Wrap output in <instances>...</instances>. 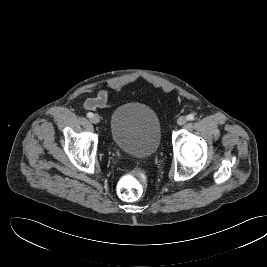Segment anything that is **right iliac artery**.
<instances>
[{"label":"right iliac artery","instance_id":"1","mask_svg":"<svg viewBox=\"0 0 267 267\" xmlns=\"http://www.w3.org/2000/svg\"><path fill=\"white\" fill-rule=\"evenodd\" d=\"M87 117H88V118H92V117H93V113L88 112V113H87Z\"/></svg>","mask_w":267,"mask_h":267}]
</instances>
